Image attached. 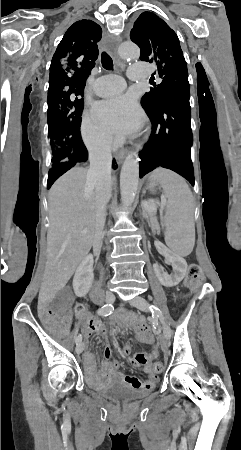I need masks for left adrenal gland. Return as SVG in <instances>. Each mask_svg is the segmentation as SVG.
<instances>
[{
	"mask_svg": "<svg viewBox=\"0 0 241 450\" xmlns=\"http://www.w3.org/2000/svg\"><path fill=\"white\" fill-rule=\"evenodd\" d=\"M142 214H143V218H147V222H148L150 228H152V226H151V224H150V220H148V216H147V214H146L145 208H142Z\"/></svg>",
	"mask_w": 241,
	"mask_h": 450,
	"instance_id": "a2214340",
	"label": "left adrenal gland"
}]
</instances>
